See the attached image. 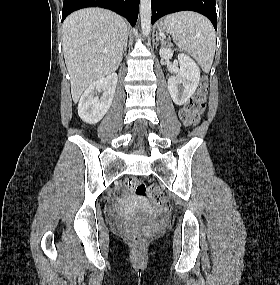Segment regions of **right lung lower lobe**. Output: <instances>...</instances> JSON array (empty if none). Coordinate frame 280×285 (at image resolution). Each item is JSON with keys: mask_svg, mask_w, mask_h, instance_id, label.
Returning <instances> with one entry per match:
<instances>
[{"mask_svg": "<svg viewBox=\"0 0 280 285\" xmlns=\"http://www.w3.org/2000/svg\"><path fill=\"white\" fill-rule=\"evenodd\" d=\"M86 7L110 9L125 17L134 26L138 18L139 0H64L62 22L71 12Z\"/></svg>", "mask_w": 280, "mask_h": 285, "instance_id": "right-lung-lower-lobe-1", "label": "right lung lower lobe"}]
</instances>
